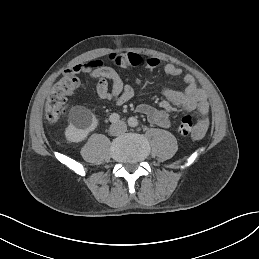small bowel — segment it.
Instances as JSON below:
<instances>
[{
    "label": "small bowel",
    "instance_id": "c3829d8e",
    "mask_svg": "<svg viewBox=\"0 0 259 259\" xmlns=\"http://www.w3.org/2000/svg\"><path fill=\"white\" fill-rule=\"evenodd\" d=\"M110 61L118 67L128 68L144 66L148 69H155L159 60L154 57H146L136 53L111 54ZM164 71L170 76H180L182 70L173 64H166ZM66 74H87L96 80V92L101 99L112 100L117 105H123L134 95L130 85L123 83L117 71L101 60H93L68 68ZM185 87L182 90L165 89L163 96L173 105L181 107L187 112H193L197 118L195 131L192 136L195 139L202 138L209 127V103L206 93L200 89L192 75L186 74L183 77ZM136 111L158 126L167 128L170 126L168 113L159 108L147 104H141Z\"/></svg>",
    "mask_w": 259,
    "mask_h": 259
}]
</instances>
